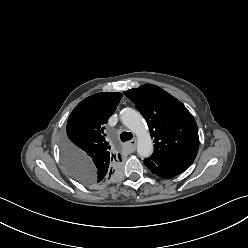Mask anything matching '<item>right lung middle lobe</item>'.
Returning <instances> with one entry per match:
<instances>
[{
	"mask_svg": "<svg viewBox=\"0 0 248 248\" xmlns=\"http://www.w3.org/2000/svg\"><path fill=\"white\" fill-rule=\"evenodd\" d=\"M67 143L64 144L63 150L66 149ZM67 170L70 172V174L78 181L83 182V177L86 175V172L83 168L80 166L76 165L74 168L69 167L65 164Z\"/></svg>",
	"mask_w": 248,
	"mask_h": 248,
	"instance_id": "1",
	"label": "right lung middle lobe"
}]
</instances>
